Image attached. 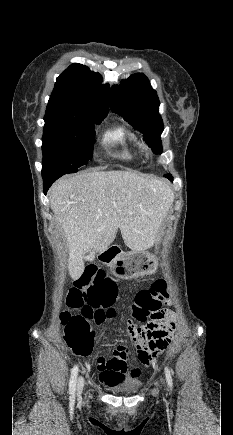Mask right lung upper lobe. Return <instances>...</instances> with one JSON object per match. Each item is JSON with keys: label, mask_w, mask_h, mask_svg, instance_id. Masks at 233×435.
Instances as JSON below:
<instances>
[{"label": "right lung upper lobe", "mask_w": 233, "mask_h": 435, "mask_svg": "<svg viewBox=\"0 0 233 435\" xmlns=\"http://www.w3.org/2000/svg\"><path fill=\"white\" fill-rule=\"evenodd\" d=\"M99 73L74 63L56 79L44 120L97 117L109 112L108 84L102 85Z\"/></svg>", "instance_id": "obj_1"}]
</instances>
